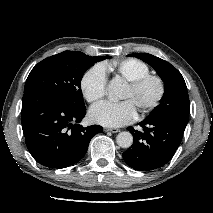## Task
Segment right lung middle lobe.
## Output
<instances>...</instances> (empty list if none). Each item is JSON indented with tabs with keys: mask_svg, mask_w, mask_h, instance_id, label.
<instances>
[{
	"mask_svg": "<svg viewBox=\"0 0 213 213\" xmlns=\"http://www.w3.org/2000/svg\"><path fill=\"white\" fill-rule=\"evenodd\" d=\"M109 56L91 57L80 51H64L39 62L30 72L24 92L39 90L72 109L85 107L81 92L84 72Z\"/></svg>",
	"mask_w": 213,
	"mask_h": 213,
	"instance_id": "obj_1",
	"label": "right lung middle lobe"
}]
</instances>
